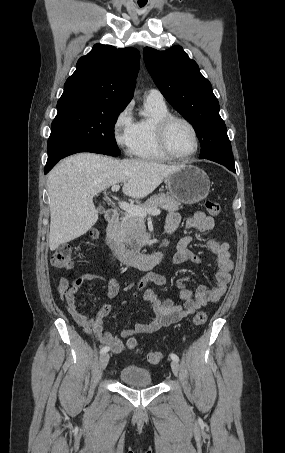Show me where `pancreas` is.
Segmentation results:
<instances>
[{
  "label": "pancreas",
  "instance_id": "1",
  "mask_svg": "<svg viewBox=\"0 0 285 453\" xmlns=\"http://www.w3.org/2000/svg\"><path fill=\"white\" fill-rule=\"evenodd\" d=\"M139 206L144 209L161 208L168 212H174L181 208L179 202L164 193L151 196L145 203ZM113 231L119 244L139 249L143 246L142 238L146 234L144 218L125 212L121 217V221L113 226ZM134 241L137 242V247L133 245Z\"/></svg>",
  "mask_w": 285,
  "mask_h": 453
}]
</instances>
